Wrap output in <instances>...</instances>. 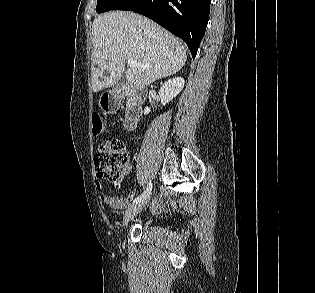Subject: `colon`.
Here are the masks:
<instances>
[{
    "label": "colon",
    "instance_id": "obj_1",
    "mask_svg": "<svg viewBox=\"0 0 315 293\" xmlns=\"http://www.w3.org/2000/svg\"><path fill=\"white\" fill-rule=\"evenodd\" d=\"M92 133L100 137L104 131V121L99 113L92 115ZM98 176L116 186H120L128 170V155L120 139H112L102 145L94 158Z\"/></svg>",
    "mask_w": 315,
    "mask_h": 293
}]
</instances>
